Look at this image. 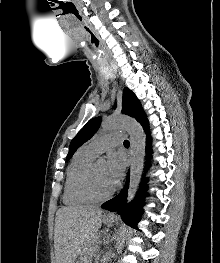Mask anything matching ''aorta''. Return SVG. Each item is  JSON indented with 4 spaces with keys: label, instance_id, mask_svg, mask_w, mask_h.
I'll list each match as a JSON object with an SVG mask.
<instances>
[{
    "label": "aorta",
    "instance_id": "aorta-1",
    "mask_svg": "<svg viewBox=\"0 0 220 263\" xmlns=\"http://www.w3.org/2000/svg\"><path fill=\"white\" fill-rule=\"evenodd\" d=\"M101 128L103 130L124 129L130 136L131 146V167L130 183L128 188L127 202H131L136 194L145 156V136L140 124L128 117L111 116L103 120Z\"/></svg>",
    "mask_w": 220,
    "mask_h": 263
}]
</instances>
